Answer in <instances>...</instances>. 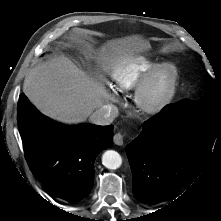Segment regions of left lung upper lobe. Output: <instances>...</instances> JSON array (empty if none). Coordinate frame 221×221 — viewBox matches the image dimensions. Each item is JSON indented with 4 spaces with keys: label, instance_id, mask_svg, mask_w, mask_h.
Returning a JSON list of instances; mask_svg holds the SVG:
<instances>
[{
    "label": "left lung upper lobe",
    "instance_id": "5c2ea615",
    "mask_svg": "<svg viewBox=\"0 0 221 221\" xmlns=\"http://www.w3.org/2000/svg\"><path fill=\"white\" fill-rule=\"evenodd\" d=\"M221 95L213 85L207 95L198 101L184 100L180 103L179 117L182 119L212 124H221Z\"/></svg>",
    "mask_w": 221,
    "mask_h": 221
}]
</instances>
